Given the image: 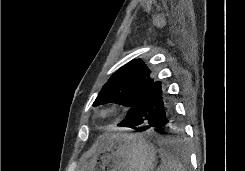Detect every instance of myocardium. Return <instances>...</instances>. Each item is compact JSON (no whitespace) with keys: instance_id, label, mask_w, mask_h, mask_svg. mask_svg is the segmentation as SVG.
Instances as JSON below:
<instances>
[{"instance_id":"obj_1","label":"myocardium","mask_w":245,"mask_h":171,"mask_svg":"<svg viewBox=\"0 0 245 171\" xmlns=\"http://www.w3.org/2000/svg\"><path fill=\"white\" fill-rule=\"evenodd\" d=\"M114 112H115L114 107L104 108L100 111V116L103 118H108V117L112 116Z\"/></svg>"}]
</instances>
